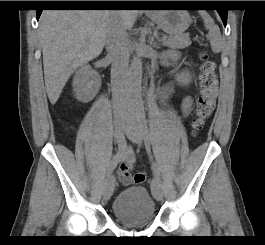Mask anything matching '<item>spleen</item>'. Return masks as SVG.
Instances as JSON below:
<instances>
[{
	"mask_svg": "<svg viewBox=\"0 0 265 245\" xmlns=\"http://www.w3.org/2000/svg\"><path fill=\"white\" fill-rule=\"evenodd\" d=\"M200 16L204 20L206 29L209 30V39L213 52L219 53L222 50L223 42L219 27L215 25L214 20L206 11H200Z\"/></svg>",
	"mask_w": 265,
	"mask_h": 245,
	"instance_id": "3e777b00",
	"label": "spleen"
}]
</instances>
